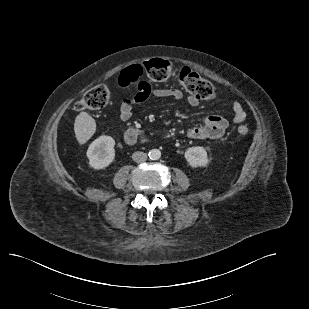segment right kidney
<instances>
[{
    "mask_svg": "<svg viewBox=\"0 0 309 309\" xmlns=\"http://www.w3.org/2000/svg\"><path fill=\"white\" fill-rule=\"evenodd\" d=\"M115 140L111 136L102 135L88 147L89 164L96 170L104 169L115 159Z\"/></svg>",
    "mask_w": 309,
    "mask_h": 309,
    "instance_id": "obj_1",
    "label": "right kidney"
}]
</instances>
